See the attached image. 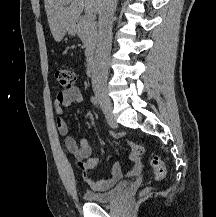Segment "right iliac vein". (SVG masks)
<instances>
[{
    "label": "right iliac vein",
    "mask_w": 216,
    "mask_h": 217,
    "mask_svg": "<svg viewBox=\"0 0 216 217\" xmlns=\"http://www.w3.org/2000/svg\"><path fill=\"white\" fill-rule=\"evenodd\" d=\"M94 92H95L97 99L99 100V103H100L103 111L108 116L111 123L115 125V122H114L113 116H112V103H111V100L107 94L106 89L102 88V87H95Z\"/></svg>",
    "instance_id": "obj_1"
}]
</instances>
